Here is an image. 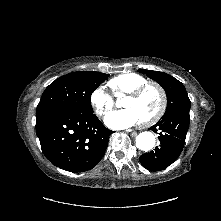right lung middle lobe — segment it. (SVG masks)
<instances>
[{"label":"right lung middle lobe","mask_w":221,"mask_h":221,"mask_svg":"<svg viewBox=\"0 0 221 221\" xmlns=\"http://www.w3.org/2000/svg\"><path fill=\"white\" fill-rule=\"evenodd\" d=\"M107 78L100 72L77 71L56 79L41 96L36 120L63 111L93 114L91 94Z\"/></svg>","instance_id":"1"}]
</instances>
